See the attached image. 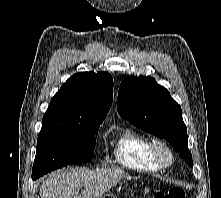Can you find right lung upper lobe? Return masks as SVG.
<instances>
[{
	"label": "right lung upper lobe",
	"instance_id": "cb5924a9",
	"mask_svg": "<svg viewBox=\"0 0 221 198\" xmlns=\"http://www.w3.org/2000/svg\"><path fill=\"white\" fill-rule=\"evenodd\" d=\"M112 101L113 79L110 74H74L51 99L41 130L89 131L100 126Z\"/></svg>",
	"mask_w": 221,
	"mask_h": 198
}]
</instances>
